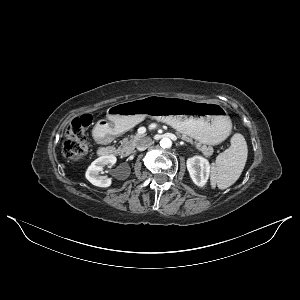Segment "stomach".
<instances>
[{
  "label": "stomach",
  "mask_w": 300,
  "mask_h": 300,
  "mask_svg": "<svg viewBox=\"0 0 300 300\" xmlns=\"http://www.w3.org/2000/svg\"><path fill=\"white\" fill-rule=\"evenodd\" d=\"M147 116L208 145L226 140L232 128L225 108L218 103L157 95L115 104L108 108L107 120L98 124L108 134H119Z\"/></svg>",
  "instance_id": "stomach-1"
}]
</instances>
